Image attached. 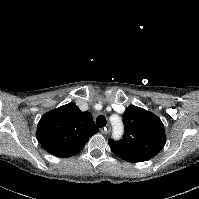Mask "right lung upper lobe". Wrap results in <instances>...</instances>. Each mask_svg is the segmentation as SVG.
<instances>
[{"label": "right lung upper lobe", "mask_w": 199, "mask_h": 199, "mask_svg": "<svg viewBox=\"0 0 199 199\" xmlns=\"http://www.w3.org/2000/svg\"><path fill=\"white\" fill-rule=\"evenodd\" d=\"M90 112H82L73 103L44 114L36 137L42 147L57 157H71L80 152L89 138L98 133Z\"/></svg>", "instance_id": "1"}]
</instances>
